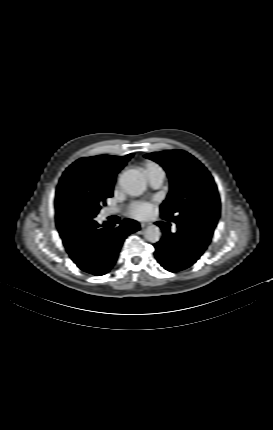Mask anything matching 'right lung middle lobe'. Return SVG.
<instances>
[{"instance_id":"dd1d6c3e","label":"right lung middle lobe","mask_w":273,"mask_h":430,"mask_svg":"<svg viewBox=\"0 0 273 430\" xmlns=\"http://www.w3.org/2000/svg\"><path fill=\"white\" fill-rule=\"evenodd\" d=\"M113 185H91L73 174H64L56 192V225L61 235L80 234L95 221Z\"/></svg>"}]
</instances>
